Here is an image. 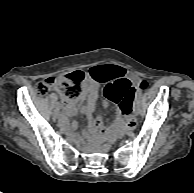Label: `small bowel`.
<instances>
[{
	"mask_svg": "<svg viewBox=\"0 0 194 193\" xmlns=\"http://www.w3.org/2000/svg\"><path fill=\"white\" fill-rule=\"evenodd\" d=\"M122 75L121 69L111 66H99L91 68L87 72L86 79L84 81V89L82 97L77 101H66L63 98V105L65 113L68 116H73L80 109L89 119V128L92 132H99L101 134L100 143H106L107 139H111L114 128L104 124L100 115H94L96 111V99L97 91L100 84H110L116 78ZM138 81V80H137ZM58 90L60 88L58 87ZM133 93V92H132ZM104 108L108 107V103L104 102ZM63 128L71 132L75 129L76 125L72 121H68L66 117L61 120ZM123 125V119L118 116L116 120L115 128ZM79 138V137H75Z\"/></svg>",
	"mask_w": 194,
	"mask_h": 193,
	"instance_id": "c3829d8e",
	"label": "small bowel"
}]
</instances>
